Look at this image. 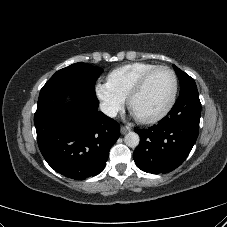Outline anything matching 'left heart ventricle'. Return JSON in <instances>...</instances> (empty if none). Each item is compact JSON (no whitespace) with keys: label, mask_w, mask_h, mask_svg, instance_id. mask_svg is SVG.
<instances>
[{"label":"left heart ventricle","mask_w":227,"mask_h":227,"mask_svg":"<svg viewBox=\"0 0 227 227\" xmlns=\"http://www.w3.org/2000/svg\"><path fill=\"white\" fill-rule=\"evenodd\" d=\"M173 78L168 70L156 71L132 102V111L137 117H151L161 111L172 93Z\"/></svg>","instance_id":"b2bd125f"}]
</instances>
